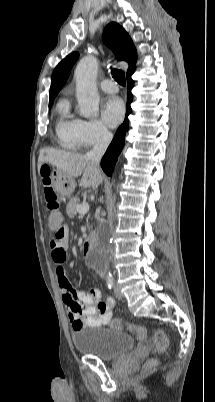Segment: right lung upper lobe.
<instances>
[{
    "instance_id": "obj_1",
    "label": "right lung upper lobe",
    "mask_w": 215,
    "mask_h": 402,
    "mask_svg": "<svg viewBox=\"0 0 215 402\" xmlns=\"http://www.w3.org/2000/svg\"><path fill=\"white\" fill-rule=\"evenodd\" d=\"M104 43L109 46L119 60L128 62L127 77L135 71L137 60L135 46L127 32L117 23H110L106 26L103 33ZM78 53L73 52L66 56L54 69L51 79L50 98H55L64 83L66 82L70 70L74 65Z\"/></svg>"
}]
</instances>
